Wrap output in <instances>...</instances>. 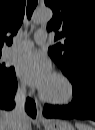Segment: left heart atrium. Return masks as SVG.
Masks as SVG:
<instances>
[{"label": "left heart atrium", "mask_w": 95, "mask_h": 130, "mask_svg": "<svg viewBox=\"0 0 95 130\" xmlns=\"http://www.w3.org/2000/svg\"><path fill=\"white\" fill-rule=\"evenodd\" d=\"M17 74L23 81L39 89H43L53 76L51 63L38 52H30L18 60Z\"/></svg>", "instance_id": "1"}]
</instances>
